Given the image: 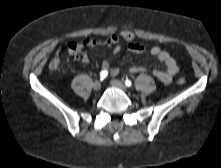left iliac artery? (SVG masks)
Returning <instances> with one entry per match:
<instances>
[{"instance_id":"44dca946","label":"left iliac artery","mask_w":221,"mask_h":168,"mask_svg":"<svg viewBox=\"0 0 221 168\" xmlns=\"http://www.w3.org/2000/svg\"><path fill=\"white\" fill-rule=\"evenodd\" d=\"M125 85L130 87V86H132V82L129 79H126L125 80Z\"/></svg>"}]
</instances>
